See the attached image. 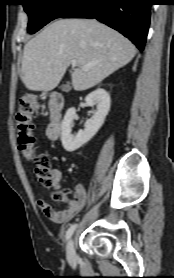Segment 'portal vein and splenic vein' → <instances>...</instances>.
Returning <instances> with one entry per match:
<instances>
[{"label":"portal vein and splenic vein","mask_w":174,"mask_h":278,"mask_svg":"<svg viewBox=\"0 0 174 278\" xmlns=\"http://www.w3.org/2000/svg\"><path fill=\"white\" fill-rule=\"evenodd\" d=\"M71 64H72V68H74V67L76 66L77 62H76L75 60H72V61H71ZM89 68H90L89 65H85V66L82 67V69H83L84 71L88 70Z\"/></svg>","instance_id":"1"}]
</instances>
